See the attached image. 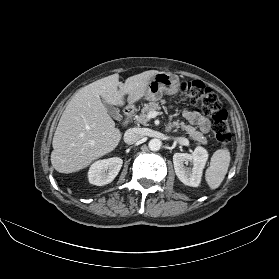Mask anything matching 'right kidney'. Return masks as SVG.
<instances>
[{
  "label": "right kidney",
  "instance_id": "ca27d5eb",
  "mask_svg": "<svg viewBox=\"0 0 279 279\" xmlns=\"http://www.w3.org/2000/svg\"><path fill=\"white\" fill-rule=\"evenodd\" d=\"M122 164L123 160L119 157L96 161L89 169V182L97 186H103L111 183L118 175Z\"/></svg>",
  "mask_w": 279,
  "mask_h": 279
}]
</instances>
